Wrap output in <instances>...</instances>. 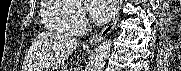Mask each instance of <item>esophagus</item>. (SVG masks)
<instances>
[{
    "label": "esophagus",
    "mask_w": 181,
    "mask_h": 71,
    "mask_svg": "<svg viewBox=\"0 0 181 71\" xmlns=\"http://www.w3.org/2000/svg\"><path fill=\"white\" fill-rule=\"evenodd\" d=\"M119 17L120 13L118 11L116 17L107 26H105L98 34L94 35L89 40V45H96L101 40H103L114 29L119 20Z\"/></svg>",
    "instance_id": "esophagus-1"
}]
</instances>
